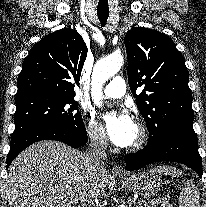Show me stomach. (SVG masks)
<instances>
[{"mask_svg": "<svg viewBox=\"0 0 206 207\" xmlns=\"http://www.w3.org/2000/svg\"><path fill=\"white\" fill-rule=\"evenodd\" d=\"M117 181L127 190L144 198L153 197L162 185V179L153 171L129 174L125 178H117Z\"/></svg>", "mask_w": 206, "mask_h": 207, "instance_id": "stomach-1", "label": "stomach"}]
</instances>
